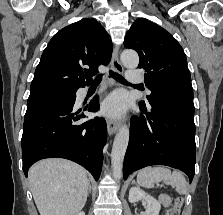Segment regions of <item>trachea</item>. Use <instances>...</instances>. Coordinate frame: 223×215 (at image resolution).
<instances>
[{"label":"trachea","mask_w":223,"mask_h":215,"mask_svg":"<svg viewBox=\"0 0 223 215\" xmlns=\"http://www.w3.org/2000/svg\"><path fill=\"white\" fill-rule=\"evenodd\" d=\"M110 76L112 78H114L117 82L120 83H129L127 80H125L124 77H122V75H119V73H115L113 71L110 72ZM101 82V76H98L93 83H100Z\"/></svg>","instance_id":"3493384b"}]
</instances>
